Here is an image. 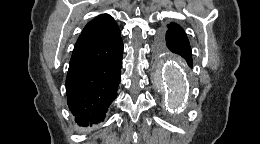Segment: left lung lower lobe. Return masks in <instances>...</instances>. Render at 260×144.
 <instances>
[{"mask_svg": "<svg viewBox=\"0 0 260 144\" xmlns=\"http://www.w3.org/2000/svg\"><path fill=\"white\" fill-rule=\"evenodd\" d=\"M160 43L166 44L167 48L180 56H182L187 64L192 67V53L188 38L184 32L166 31L159 37Z\"/></svg>", "mask_w": 260, "mask_h": 144, "instance_id": "0a47b994", "label": "left lung lower lobe"}]
</instances>
